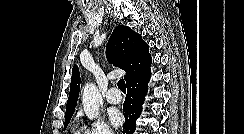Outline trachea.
I'll use <instances>...</instances> for the list:
<instances>
[{
	"instance_id": "1",
	"label": "trachea",
	"mask_w": 244,
	"mask_h": 134,
	"mask_svg": "<svg viewBox=\"0 0 244 134\" xmlns=\"http://www.w3.org/2000/svg\"><path fill=\"white\" fill-rule=\"evenodd\" d=\"M118 85V88L123 92V93H126V84H125V81L124 79H120L117 83Z\"/></svg>"
}]
</instances>
